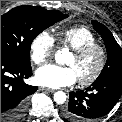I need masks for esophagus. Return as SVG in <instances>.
I'll return each mask as SVG.
<instances>
[{"label":"esophagus","instance_id":"34e87169","mask_svg":"<svg viewBox=\"0 0 122 122\" xmlns=\"http://www.w3.org/2000/svg\"><path fill=\"white\" fill-rule=\"evenodd\" d=\"M40 90H42V91H46V92H51V93L55 92L54 89H50V88H46V87H41Z\"/></svg>","mask_w":122,"mask_h":122}]
</instances>
